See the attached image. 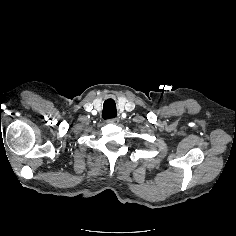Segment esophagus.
Masks as SVG:
<instances>
[{"mask_svg":"<svg viewBox=\"0 0 236 236\" xmlns=\"http://www.w3.org/2000/svg\"><path fill=\"white\" fill-rule=\"evenodd\" d=\"M109 122L112 123V124H118L119 123V118L115 117V118L109 119Z\"/></svg>","mask_w":236,"mask_h":236,"instance_id":"obj_1","label":"esophagus"}]
</instances>
